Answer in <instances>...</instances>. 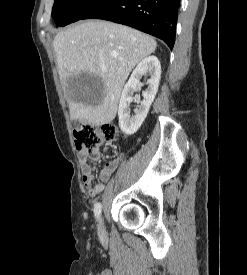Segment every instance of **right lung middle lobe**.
<instances>
[{
    "label": "right lung middle lobe",
    "mask_w": 247,
    "mask_h": 275,
    "mask_svg": "<svg viewBox=\"0 0 247 275\" xmlns=\"http://www.w3.org/2000/svg\"><path fill=\"white\" fill-rule=\"evenodd\" d=\"M100 0H54L52 17L57 26L76 22Z\"/></svg>",
    "instance_id": "1"
}]
</instances>
